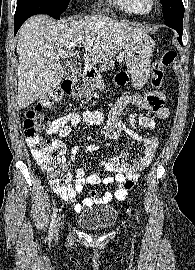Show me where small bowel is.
Segmentation results:
<instances>
[{"instance_id":"c3829d8e","label":"small bowel","mask_w":195,"mask_h":270,"mask_svg":"<svg viewBox=\"0 0 195 270\" xmlns=\"http://www.w3.org/2000/svg\"><path fill=\"white\" fill-rule=\"evenodd\" d=\"M127 80L128 77L125 73H120L116 77V81L119 85H124ZM129 104H133L144 109L158 118L164 119L169 116V110L165 105L158 108H146L145 99L141 96L124 94L117 99L108 114L106 125L102 129V133L110 139H116L124 133L127 134L137 143L140 154L135 156L132 162L127 160L126 154L123 151H120L117 155L104 160L101 163L103 170L114 173V176H105L103 171L86 175L83 168L73 169L69 175L75 178L74 187H71L68 193L61 194L57 192L67 202H75L77 196L83 191V188L86 185L103 184L104 186H108L113 183L118 185L114 193L109 190H105L102 196H98L95 190H90L82 203H78L74 206V210L77 213L81 212L84 208L91 207L95 204H107L113 199V197L119 201L124 200L127 196V191L122 188L121 184L125 182L126 179H138L139 172L146 169L154 159L159 146V140L156 134L158 124L154 119L148 116H135L139 125L144 130L151 132V135L148 137H144L128 127L119 120V117ZM103 119V114L96 110L71 112L54 120L51 123L48 133L63 139L72 131L75 132L76 128L81 123H84L88 127L99 126L102 124ZM96 148L97 145H91L88 147V151L91 152ZM79 149V146L72 149V162H74Z\"/></svg>"}]
</instances>
